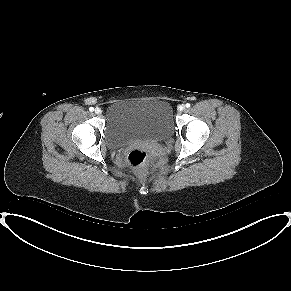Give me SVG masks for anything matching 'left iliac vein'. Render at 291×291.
<instances>
[{
	"label": "left iliac vein",
	"instance_id": "obj_1",
	"mask_svg": "<svg viewBox=\"0 0 291 291\" xmlns=\"http://www.w3.org/2000/svg\"><path fill=\"white\" fill-rule=\"evenodd\" d=\"M184 109H185V106H184V105H180V106L178 107V111H179V112H182Z\"/></svg>",
	"mask_w": 291,
	"mask_h": 291
}]
</instances>
